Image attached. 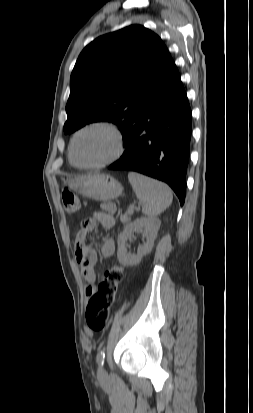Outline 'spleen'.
<instances>
[{
  "mask_svg": "<svg viewBox=\"0 0 253 413\" xmlns=\"http://www.w3.org/2000/svg\"><path fill=\"white\" fill-rule=\"evenodd\" d=\"M128 179L137 198L142 201L145 215L155 217L171 205L173 196L166 184L136 172H129Z\"/></svg>",
  "mask_w": 253,
  "mask_h": 413,
  "instance_id": "1",
  "label": "spleen"
}]
</instances>
